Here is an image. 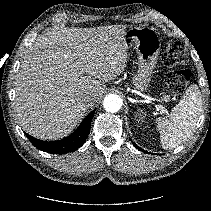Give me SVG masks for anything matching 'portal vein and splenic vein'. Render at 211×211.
Wrapping results in <instances>:
<instances>
[{"instance_id": "1", "label": "portal vein and splenic vein", "mask_w": 211, "mask_h": 211, "mask_svg": "<svg viewBox=\"0 0 211 211\" xmlns=\"http://www.w3.org/2000/svg\"><path fill=\"white\" fill-rule=\"evenodd\" d=\"M149 100H150L151 102H153V104H154L158 109H160V111H161L162 113L166 112V109H165L162 105L157 104V103H154V101H156V99L150 98Z\"/></svg>"}]
</instances>
